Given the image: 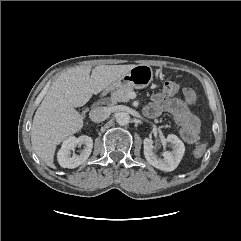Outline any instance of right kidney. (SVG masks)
<instances>
[{"label":"right kidney","instance_id":"right-kidney-1","mask_svg":"<svg viewBox=\"0 0 241 241\" xmlns=\"http://www.w3.org/2000/svg\"><path fill=\"white\" fill-rule=\"evenodd\" d=\"M82 145L83 149L81 150L80 154L71 156V150H74L77 146ZM92 148L93 140L91 137L86 135L78 138L71 136L63 142L61 149L58 151V162L63 168H76L88 159Z\"/></svg>","mask_w":241,"mask_h":241}]
</instances>
